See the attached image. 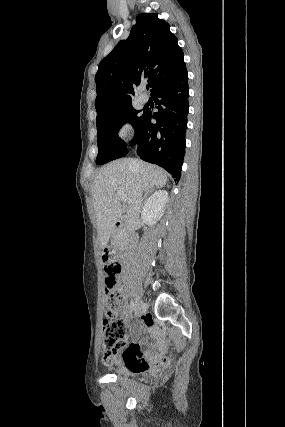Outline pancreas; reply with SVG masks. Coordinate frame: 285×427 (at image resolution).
<instances>
[{
  "mask_svg": "<svg viewBox=\"0 0 285 427\" xmlns=\"http://www.w3.org/2000/svg\"><path fill=\"white\" fill-rule=\"evenodd\" d=\"M113 243H114L117 247H121V246H122V241H121V239H120L118 236L114 237Z\"/></svg>",
  "mask_w": 285,
  "mask_h": 427,
  "instance_id": "pancreas-1",
  "label": "pancreas"
}]
</instances>
